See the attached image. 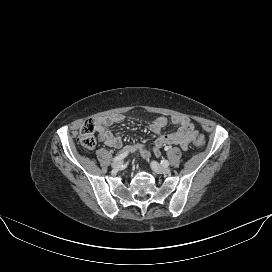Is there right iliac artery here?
<instances>
[{"instance_id":"right-iliac-artery-1","label":"right iliac artery","mask_w":272,"mask_h":272,"mask_svg":"<svg viewBox=\"0 0 272 272\" xmlns=\"http://www.w3.org/2000/svg\"><path fill=\"white\" fill-rule=\"evenodd\" d=\"M131 148L129 146L125 147L116 157L113 158V161H118L123 159L129 152Z\"/></svg>"}]
</instances>
